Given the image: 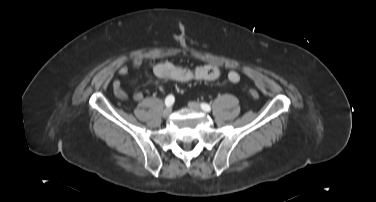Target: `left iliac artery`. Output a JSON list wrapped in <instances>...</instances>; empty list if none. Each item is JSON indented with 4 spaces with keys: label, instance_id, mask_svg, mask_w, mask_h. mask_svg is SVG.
I'll list each match as a JSON object with an SVG mask.
<instances>
[{
    "label": "left iliac artery",
    "instance_id": "44dca946",
    "mask_svg": "<svg viewBox=\"0 0 376 202\" xmlns=\"http://www.w3.org/2000/svg\"><path fill=\"white\" fill-rule=\"evenodd\" d=\"M201 108L205 111V112H209L211 111V107L209 104L207 103H201Z\"/></svg>",
    "mask_w": 376,
    "mask_h": 202
}]
</instances>
